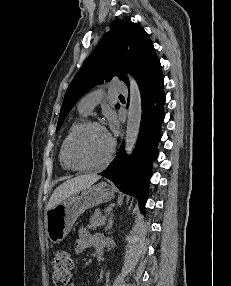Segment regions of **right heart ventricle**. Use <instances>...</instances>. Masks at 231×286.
I'll return each mask as SVG.
<instances>
[{
	"label": "right heart ventricle",
	"instance_id": "right-heart-ventricle-1",
	"mask_svg": "<svg viewBox=\"0 0 231 286\" xmlns=\"http://www.w3.org/2000/svg\"><path fill=\"white\" fill-rule=\"evenodd\" d=\"M85 114L81 113L80 117L75 120L69 127L66 135L64 136L62 142H61V145H60V148H59V153H58V159H59V163L61 165V167L64 169V170H70L66 164H65V161H64V147H65V143H66V140L68 138V136L71 134V132L77 127L79 126L82 122H83V118H84Z\"/></svg>",
	"mask_w": 231,
	"mask_h": 286
}]
</instances>
